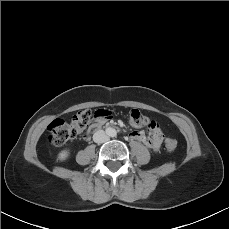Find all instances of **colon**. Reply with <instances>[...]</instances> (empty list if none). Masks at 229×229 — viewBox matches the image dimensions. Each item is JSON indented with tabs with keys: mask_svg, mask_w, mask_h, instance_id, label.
<instances>
[{
	"mask_svg": "<svg viewBox=\"0 0 229 229\" xmlns=\"http://www.w3.org/2000/svg\"><path fill=\"white\" fill-rule=\"evenodd\" d=\"M102 118L109 119L112 114L109 110L99 109L96 113ZM92 117V111L84 109L78 111L71 123L65 122L61 119L54 120L48 127V141L53 146H61L65 144L69 139L74 137L77 133L82 132L89 125ZM129 120L135 127H149L155 126V123L149 121L138 109H132L129 113ZM178 142L174 138H167L165 140V148L173 152L177 149Z\"/></svg>",
	"mask_w": 229,
	"mask_h": 229,
	"instance_id": "obj_1",
	"label": "colon"
}]
</instances>
